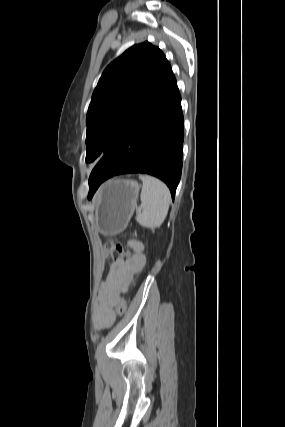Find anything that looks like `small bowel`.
<instances>
[{
    "mask_svg": "<svg viewBox=\"0 0 285 427\" xmlns=\"http://www.w3.org/2000/svg\"><path fill=\"white\" fill-rule=\"evenodd\" d=\"M134 254L124 260H115L111 265L106 280L100 284L94 306V322L98 330L110 327L114 320V306L120 299V294L127 288L135 272L140 271L146 264L143 245L132 241Z\"/></svg>",
    "mask_w": 285,
    "mask_h": 427,
    "instance_id": "1",
    "label": "small bowel"
}]
</instances>
